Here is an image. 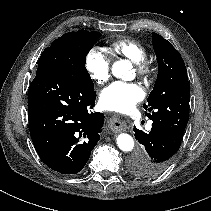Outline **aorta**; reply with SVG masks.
<instances>
[{"label":"aorta","instance_id":"1","mask_svg":"<svg viewBox=\"0 0 211 211\" xmlns=\"http://www.w3.org/2000/svg\"><path fill=\"white\" fill-rule=\"evenodd\" d=\"M129 68L130 65L128 62L124 60L116 61L112 66V74L116 78H124ZM116 142L118 147L124 152L132 151L134 148L133 138L129 134H119L117 136Z\"/></svg>","mask_w":211,"mask_h":211}]
</instances>
